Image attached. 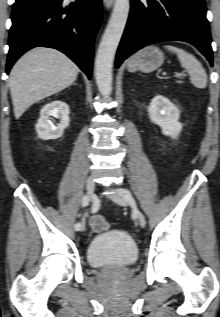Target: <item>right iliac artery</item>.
I'll return each instance as SVG.
<instances>
[{
	"instance_id": "1",
	"label": "right iliac artery",
	"mask_w": 220,
	"mask_h": 317,
	"mask_svg": "<svg viewBox=\"0 0 220 317\" xmlns=\"http://www.w3.org/2000/svg\"><path fill=\"white\" fill-rule=\"evenodd\" d=\"M88 203H89V197L85 195V196L82 198L81 204H82L83 207H86V206L88 205ZM74 227H75V230H77V231L80 230V228H81V223H79V222L76 223Z\"/></svg>"
}]
</instances>
